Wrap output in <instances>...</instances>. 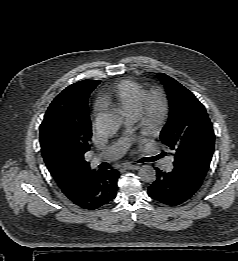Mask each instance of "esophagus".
<instances>
[{
    "label": "esophagus",
    "instance_id": "1",
    "mask_svg": "<svg viewBox=\"0 0 238 261\" xmlns=\"http://www.w3.org/2000/svg\"><path fill=\"white\" fill-rule=\"evenodd\" d=\"M123 168H125L127 170H137L139 168V166L126 163L123 165Z\"/></svg>",
    "mask_w": 238,
    "mask_h": 261
}]
</instances>
